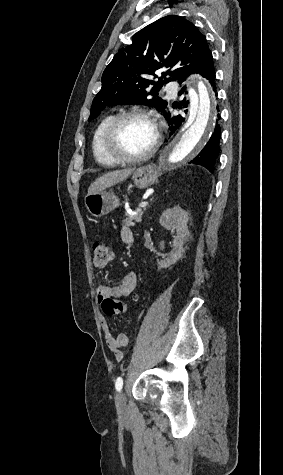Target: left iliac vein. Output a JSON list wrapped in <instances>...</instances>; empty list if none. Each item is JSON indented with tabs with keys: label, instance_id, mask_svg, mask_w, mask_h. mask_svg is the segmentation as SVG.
I'll return each mask as SVG.
<instances>
[{
	"label": "left iliac vein",
	"instance_id": "left-iliac-vein-1",
	"mask_svg": "<svg viewBox=\"0 0 283 475\" xmlns=\"http://www.w3.org/2000/svg\"><path fill=\"white\" fill-rule=\"evenodd\" d=\"M116 407L119 412V414L123 417L126 415L125 409L127 407L126 405V396L123 394V392H118L116 394Z\"/></svg>",
	"mask_w": 283,
	"mask_h": 475
}]
</instances>
